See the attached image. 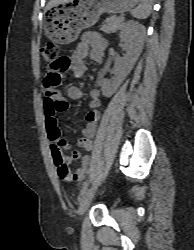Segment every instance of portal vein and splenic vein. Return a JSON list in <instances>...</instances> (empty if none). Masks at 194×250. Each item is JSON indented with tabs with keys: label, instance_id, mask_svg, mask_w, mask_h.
Here are the masks:
<instances>
[{
	"label": "portal vein and splenic vein",
	"instance_id": "1",
	"mask_svg": "<svg viewBox=\"0 0 194 250\" xmlns=\"http://www.w3.org/2000/svg\"><path fill=\"white\" fill-rule=\"evenodd\" d=\"M120 19L123 21V20H124V17H120Z\"/></svg>",
	"mask_w": 194,
	"mask_h": 250
}]
</instances>
